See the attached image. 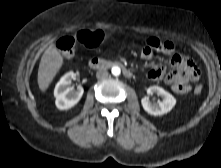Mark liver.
<instances>
[{
  "label": "liver",
  "mask_w": 221,
  "mask_h": 168,
  "mask_svg": "<svg viewBox=\"0 0 221 168\" xmlns=\"http://www.w3.org/2000/svg\"><path fill=\"white\" fill-rule=\"evenodd\" d=\"M63 57L54 45H50L41 57L38 69V86L45 92L63 65Z\"/></svg>",
  "instance_id": "6515ba94"
}]
</instances>
